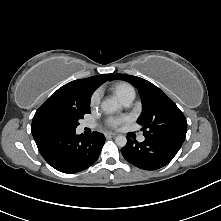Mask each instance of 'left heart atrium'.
<instances>
[{
    "mask_svg": "<svg viewBox=\"0 0 221 221\" xmlns=\"http://www.w3.org/2000/svg\"><path fill=\"white\" fill-rule=\"evenodd\" d=\"M125 119L124 118H120V117H111L108 120V124L111 127H117L118 125H120L122 122H124Z\"/></svg>",
    "mask_w": 221,
    "mask_h": 221,
    "instance_id": "obj_1",
    "label": "left heart atrium"
}]
</instances>
